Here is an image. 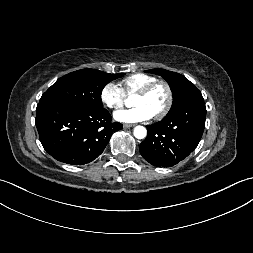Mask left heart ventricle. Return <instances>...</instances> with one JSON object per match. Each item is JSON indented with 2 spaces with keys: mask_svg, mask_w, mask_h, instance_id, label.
Wrapping results in <instances>:
<instances>
[{
  "mask_svg": "<svg viewBox=\"0 0 253 253\" xmlns=\"http://www.w3.org/2000/svg\"><path fill=\"white\" fill-rule=\"evenodd\" d=\"M167 93L163 86H157L149 95H135L134 105H144L153 115L158 113L166 104Z\"/></svg>",
  "mask_w": 253,
  "mask_h": 253,
  "instance_id": "1",
  "label": "left heart ventricle"
}]
</instances>
